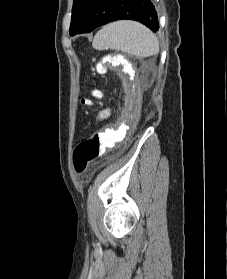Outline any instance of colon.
Returning a JSON list of instances; mask_svg holds the SVG:
<instances>
[{
	"instance_id": "1",
	"label": "colon",
	"mask_w": 227,
	"mask_h": 279,
	"mask_svg": "<svg viewBox=\"0 0 227 279\" xmlns=\"http://www.w3.org/2000/svg\"><path fill=\"white\" fill-rule=\"evenodd\" d=\"M106 61L100 59L95 69L99 73L105 72ZM94 98H102L103 92L100 89H94L91 93ZM82 105L88 106L92 104V99L89 97L81 100ZM116 133L112 132L110 128L101 129L91 136L81 141L73 152V167L77 173H82L92 161L103 156L107 149L114 143Z\"/></svg>"
}]
</instances>
